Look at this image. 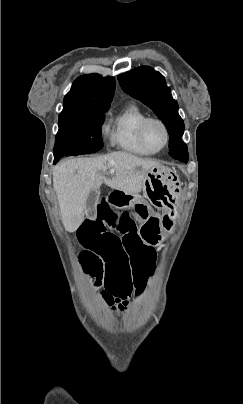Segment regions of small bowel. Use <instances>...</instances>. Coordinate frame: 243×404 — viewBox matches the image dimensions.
Masks as SVG:
<instances>
[{"label": "small bowel", "mask_w": 243, "mask_h": 404, "mask_svg": "<svg viewBox=\"0 0 243 404\" xmlns=\"http://www.w3.org/2000/svg\"><path fill=\"white\" fill-rule=\"evenodd\" d=\"M78 237L84 247L80 263L102 288L101 298L113 311L125 310L132 292L143 291L154 273L155 249L143 242L127 208L114 206L109 195L85 219Z\"/></svg>", "instance_id": "obj_1"}]
</instances>
